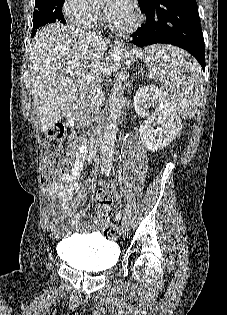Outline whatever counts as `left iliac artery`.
<instances>
[{
	"label": "left iliac artery",
	"instance_id": "44dca946",
	"mask_svg": "<svg viewBox=\"0 0 227 315\" xmlns=\"http://www.w3.org/2000/svg\"><path fill=\"white\" fill-rule=\"evenodd\" d=\"M107 175H109V172L107 173ZM131 215V205L128 204L126 209H125V215H124V220L129 219Z\"/></svg>",
	"mask_w": 227,
	"mask_h": 315
}]
</instances>
